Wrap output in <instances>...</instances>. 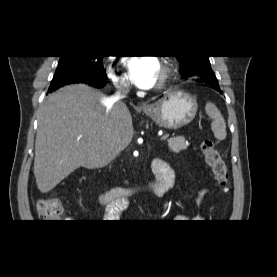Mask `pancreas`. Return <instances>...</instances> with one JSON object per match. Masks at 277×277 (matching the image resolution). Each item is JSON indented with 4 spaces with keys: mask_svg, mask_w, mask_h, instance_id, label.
I'll return each instance as SVG.
<instances>
[{
    "mask_svg": "<svg viewBox=\"0 0 277 277\" xmlns=\"http://www.w3.org/2000/svg\"><path fill=\"white\" fill-rule=\"evenodd\" d=\"M168 147L172 152L178 153L188 147V142L182 136L173 137L167 140Z\"/></svg>",
    "mask_w": 277,
    "mask_h": 277,
    "instance_id": "cf45deb5",
    "label": "pancreas"
}]
</instances>
